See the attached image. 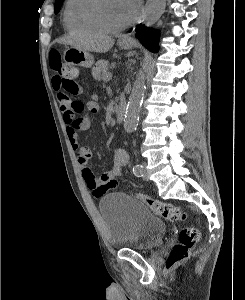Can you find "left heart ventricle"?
Instances as JSON below:
<instances>
[{
	"label": "left heart ventricle",
	"mask_w": 245,
	"mask_h": 300,
	"mask_svg": "<svg viewBox=\"0 0 245 300\" xmlns=\"http://www.w3.org/2000/svg\"><path fill=\"white\" fill-rule=\"evenodd\" d=\"M101 18L110 27H116L131 18V13L124 0H102Z\"/></svg>",
	"instance_id": "obj_1"
}]
</instances>
